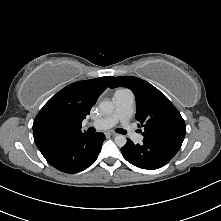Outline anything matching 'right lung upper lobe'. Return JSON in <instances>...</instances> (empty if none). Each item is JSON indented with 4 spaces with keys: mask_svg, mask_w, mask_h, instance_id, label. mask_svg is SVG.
<instances>
[{
    "mask_svg": "<svg viewBox=\"0 0 221 221\" xmlns=\"http://www.w3.org/2000/svg\"><path fill=\"white\" fill-rule=\"evenodd\" d=\"M112 81L113 76L78 81L55 94L33 123V136L40 152H47L67 136L81 133L82 120Z\"/></svg>",
    "mask_w": 221,
    "mask_h": 221,
    "instance_id": "cb5924a9",
    "label": "right lung upper lobe"
}]
</instances>
